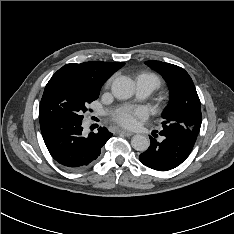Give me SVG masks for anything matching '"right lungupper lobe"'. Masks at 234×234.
<instances>
[{"label": "right lung upper lobe", "mask_w": 234, "mask_h": 234, "mask_svg": "<svg viewBox=\"0 0 234 234\" xmlns=\"http://www.w3.org/2000/svg\"><path fill=\"white\" fill-rule=\"evenodd\" d=\"M124 63L122 62H85L66 64L55 75L65 76L86 86L99 88Z\"/></svg>", "instance_id": "1"}]
</instances>
